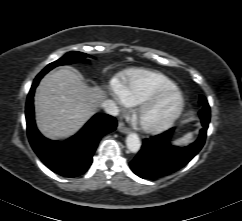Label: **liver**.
<instances>
[{
    "mask_svg": "<svg viewBox=\"0 0 242 221\" xmlns=\"http://www.w3.org/2000/svg\"><path fill=\"white\" fill-rule=\"evenodd\" d=\"M106 99L99 86H88L80 73L62 67L46 74L34 97L36 123L52 140L73 136Z\"/></svg>",
    "mask_w": 242,
    "mask_h": 221,
    "instance_id": "1",
    "label": "liver"
}]
</instances>
